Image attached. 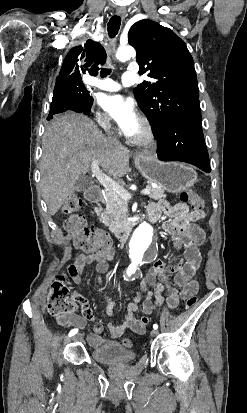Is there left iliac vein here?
I'll return each instance as SVG.
<instances>
[{"label":"left iliac vein","mask_w":247,"mask_h":413,"mask_svg":"<svg viewBox=\"0 0 247 413\" xmlns=\"http://www.w3.org/2000/svg\"><path fill=\"white\" fill-rule=\"evenodd\" d=\"M158 333H159L158 330L153 329V330H151L150 335H151L152 337H155V336L158 335Z\"/></svg>","instance_id":"4c4485c4"}]
</instances>
